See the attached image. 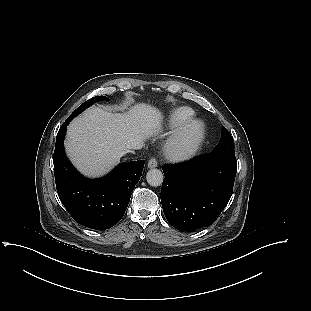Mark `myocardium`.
I'll use <instances>...</instances> for the list:
<instances>
[{
	"label": "myocardium",
	"mask_w": 311,
	"mask_h": 311,
	"mask_svg": "<svg viewBox=\"0 0 311 311\" xmlns=\"http://www.w3.org/2000/svg\"><path fill=\"white\" fill-rule=\"evenodd\" d=\"M204 137V123L200 119L192 118L170 134L163 145V154L171 161H186L196 155Z\"/></svg>",
	"instance_id": "f54148a6"
}]
</instances>
